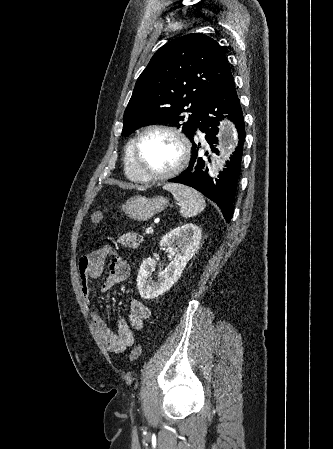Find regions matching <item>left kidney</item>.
Here are the masks:
<instances>
[{
	"instance_id": "1",
	"label": "left kidney",
	"mask_w": 333,
	"mask_h": 449,
	"mask_svg": "<svg viewBox=\"0 0 333 449\" xmlns=\"http://www.w3.org/2000/svg\"><path fill=\"white\" fill-rule=\"evenodd\" d=\"M202 229L196 224H184L166 234L160 245L165 251L173 256V260L165 270L159 272L157 280L150 285V269L156 262L153 258L145 259L139 269L137 276V287L141 297L152 299L169 290L181 277L187 262L199 249Z\"/></svg>"
}]
</instances>
